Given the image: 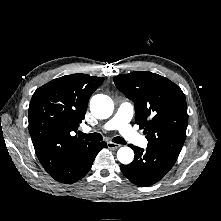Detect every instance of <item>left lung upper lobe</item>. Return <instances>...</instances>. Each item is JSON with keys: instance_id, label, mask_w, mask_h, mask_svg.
<instances>
[{"instance_id": "left-lung-upper-lobe-1", "label": "left lung upper lobe", "mask_w": 221, "mask_h": 221, "mask_svg": "<svg viewBox=\"0 0 221 221\" xmlns=\"http://www.w3.org/2000/svg\"><path fill=\"white\" fill-rule=\"evenodd\" d=\"M114 83L135 103V123L144 129L147 147L178 157L188 123L186 99L180 87L148 71L118 75Z\"/></svg>"}]
</instances>
